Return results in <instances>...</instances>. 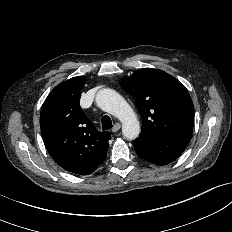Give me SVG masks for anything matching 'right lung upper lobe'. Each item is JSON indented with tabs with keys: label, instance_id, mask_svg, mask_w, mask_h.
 <instances>
[{
	"label": "right lung upper lobe",
	"instance_id": "cb5924a9",
	"mask_svg": "<svg viewBox=\"0 0 232 232\" xmlns=\"http://www.w3.org/2000/svg\"><path fill=\"white\" fill-rule=\"evenodd\" d=\"M85 77H73L57 85L40 112L44 144L63 169L87 175L106 158L109 132H99L79 104Z\"/></svg>",
	"mask_w": 232,
	"mask_h": 232
}]
</instances>
